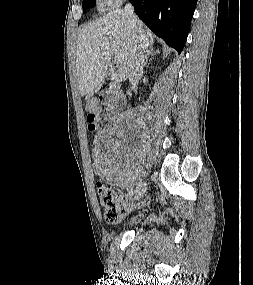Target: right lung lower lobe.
<instances>
[{"label":"right lung lower lobe","mask_w":253,"mask_h":285,"mask_svg":"<svg viewBox=\"0 0 253 285\" xmlns=\"http://www.w3.org/2000/svg\"><path fill=\"white\" fill-rule=\"evenodd\" d=\"M139 18L180 53L187 39L197 0H130Z\"/></svg>","instance_id":"right-lung-lower-lobe-1"}]
</instances>
